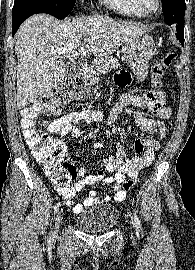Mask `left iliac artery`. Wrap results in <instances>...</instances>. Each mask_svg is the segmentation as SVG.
Here are the masks:
<instances>
[{
	"instance_id": "1",
	"label": "left iliac artery",
	"mask_w": 195,
	"mask_h": 270,
	"mask_svg": "<svg viewBox=\"0 0 195 270\" xmlns=\"http://www.w3.org/2000/svg\"><path fill=\"white\" fill-rule=\"evenodd\" d=\"M134 221H135V227L138 229L140 227V220L136 212H134Z\"/></svg>"
}]
</instances>
